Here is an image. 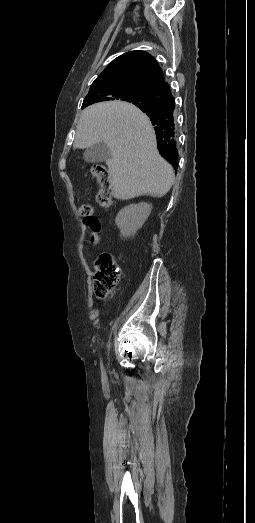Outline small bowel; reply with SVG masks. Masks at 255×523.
<instances>
[{
  "label": "small bowel",
  "instance_id": "small-bowel-1",
  "mask_svg": "<svg viewBox=\"0 0 255 523\" xmlns=\"http://www.w3.org/2000/svg\"><path fill=\"white\" fill-rule=\"evenodd\" d=\"M89 228L88 244L95 246L101 241V224L97 218H94L90 223H85Z\"/></svg>",
  "mask_w": 255,
  "mask_h": 523
}]
</instances>
